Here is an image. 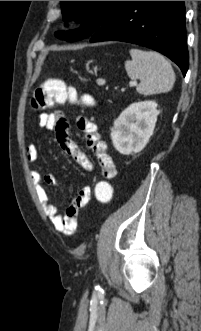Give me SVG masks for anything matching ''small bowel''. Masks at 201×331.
I'll return each mask as SVG.
<instances>
[{
	"mask_svg": "<svg viewBox=\"0 0 201 331\" xmlns=\"http://www.w3.org/2000/svg\"><path fill=\"white\" fill-rule=\"evenodd\" d=\"M38 123L41 128L55 131L56 139L62 150L71 156L83 169L87 171L93 169L92 161L70 137L69 122L62 111L42 113L39 116ZM76 126L85 135L86 144L98 161L102 178L107 180L114 178L116 167L108 153L106 143L101 139L97 125L90 119L79 116L76 119ZM26 155L30 163L34 164L37 162L38 152L33 144L26 147ZM30 175L43 210L55 229L65 235H73L77 229L78 214L91 198L90 187H82L65 214L61 215L57 207L49 201V195L45 188V184L57 185L55 176L51 174L42 176L37 170H32Z\"/></svg>",
	"mask_w": 201,
	"mask_h": 331,
	"instance_id": "1",
	"label": "small bowel"
}]
</instances>
